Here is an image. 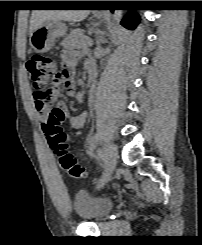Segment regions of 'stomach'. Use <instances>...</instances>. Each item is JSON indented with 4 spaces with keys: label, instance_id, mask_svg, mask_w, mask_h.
<instances>
[{
    "label": "stomach",
    "instance_id": "1",
    "mask_svg": "<svg viewBox=\"0 0 202 245\" xmlns=\"http://www.w3.org/2000/svg\"><path fill=\"white\" fill-rule=\"evenodd\" d=\"M95 16L100 17V14ZM67 25L61 20H49L31 34L29 42L36 53H46L53 48L58 38L66 35Z\"/></svg>",
    "mask_w": 202,
    "mask_h": 245
}]
</instances>
